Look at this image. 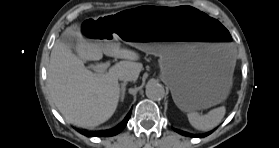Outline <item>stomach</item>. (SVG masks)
I'll return each mask as SVG.
<instances>
[{
	"instance_id": "obj_1",
	"label": "stomach",
	"mask_w": 279,
	"mask_h": 148,
	"mask_svg": "<svg viewBox=\"0 0 279 148\" xmlns=\"http://www.w3.org/2000/svg\"><path fill=\"white\" fill-rule=\"evenodd\" d=\"M80 36L105 46L121 40L159 56L161 79L184 112L209 108L229 94L237 43L227 27L196 8L133 5L87 17Z\"/></svg>"
}]
</instances>
